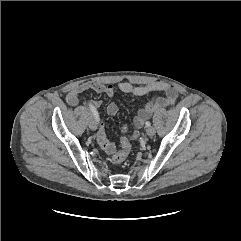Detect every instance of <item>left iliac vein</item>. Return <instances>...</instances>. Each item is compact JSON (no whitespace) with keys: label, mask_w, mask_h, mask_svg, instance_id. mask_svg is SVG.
Instances as JSON below:
<instances>
[{"label":"left iliac vein","mask_w":241,"mask_h":241,"mask_svg":"<svg viewBox=\"0 0 241 241\" xmlns=\"http://www.w3.org/2000/svg\"><path fill=\"white\" fill-rule=\"evenodd\" d=\"M146 133H147V135H148L149 137H152V136L155 135L156 130H155V128H154L153 126H149V127H147V129H146Z\"/></svg>","instance_id":"obj_1"}]
</instances>
